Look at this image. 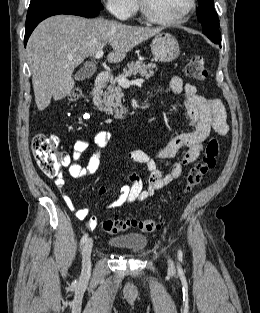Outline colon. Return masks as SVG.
I'll return each mask as SVG.
<instances>
[{
  "mask_svg": "<svg viewBox=\"0 0 260 313\" xmlns=\"http://www.w3.org/2000/svg\"><path fill=\"white\" fill-rule=\"evenodd\" d=\"M185 74L196 81H204L208 77L205 60L203 57L195 56L190 59L185 67ZM80 91L75 88L71 91L69 99H79ZM59 141L55 136L43 133L36 134L32 141L34 159L40 170L48 177H58L63 166L66 164V155L58 150ZM219 155V143L212 139L206 146L202 160L196 163L188 172L185 181L187 191L197 187L211 169L216 166ZM158 223L153 219H119L110 218L101 222L103 231L109 234H117L128 229H138L145 233L153 232Z\"/></svg>",
  "mask_w": 260,
  "mask_h": 313,
  "instance_id": "5ec220e1",
  "label": "colon"
}]
</instances>
